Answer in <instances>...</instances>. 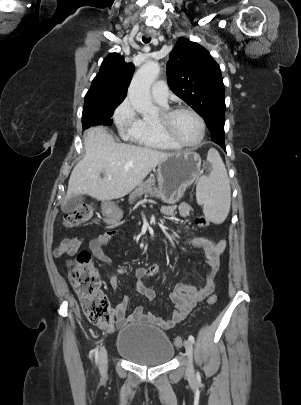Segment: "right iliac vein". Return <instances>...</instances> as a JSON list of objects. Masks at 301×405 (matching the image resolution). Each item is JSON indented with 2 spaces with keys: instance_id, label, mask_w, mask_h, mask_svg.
Listing matches in <instances>:
<instances>
[{
  "instance_id": "right-iliac-vein-1",
  "label": "right iliac vein",
  "mask_w": 301,
  "mask_h": 405,
  "mask_svg": "<svg viewBox=\"0 0 301 405\" xmlns=\"http://www.w3.org/2000/svg\"><path fill=\"white\" fill-rule=\"evenodd\" d=\"M99 368L102 373H105L108 368V356L105 347H102L99 354Z\"/></svg>"
}]
</instances>
